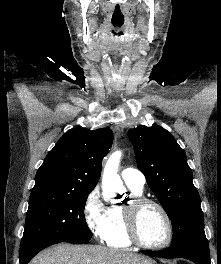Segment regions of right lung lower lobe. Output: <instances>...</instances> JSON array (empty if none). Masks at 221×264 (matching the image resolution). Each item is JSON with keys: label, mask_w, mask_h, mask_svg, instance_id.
Masks as SVG:
<instances>
[{"label": "right lung lower lobe", "mask_w": 221, "mask_h": 264, "mask_svg": "<svg viewBox=\"0 0 221 264\" xmlns=\"http://www.w3.org/2000/svg\"><path fill=\"white\" fill-rule=\"evenodd\" d=\"M88 241L89 240H69V241H64V242H69L73 244H84V243H87ZM60 242H63V241L45 242V243L38 244L34 247H31L29 249H26L20 252V264H27L38 252H40L41 250H43L44 248L50 245L60 243Z\"/></svg>", "instance_id": "98d812e1"}]
</instances>
